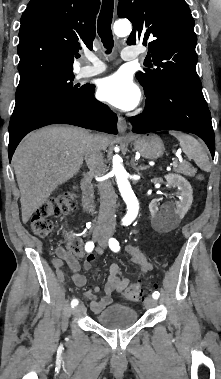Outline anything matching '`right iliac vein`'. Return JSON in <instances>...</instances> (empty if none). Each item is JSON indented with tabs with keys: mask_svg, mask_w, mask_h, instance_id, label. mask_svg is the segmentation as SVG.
<instances>
[{
	"mask_svg": "<svg viewBox=\"0 0 221 379\" xmlns=\"http://www.w3.org/2000/svg\"><path fill=\"white\" fill-rule=\"evenodd\" d=\"M98 241H102L100 238H97ZM86 311V308L83 304H79L77 307L74 308V314L76 315H82Z\"/></svg>",
	"mask_w": 221,
	"mask_h": 379,
	"instance_id": "right-iliac-vein-1",
	"label": "right iliac vein"
}]
</instances>
